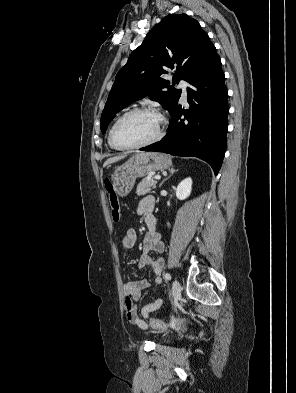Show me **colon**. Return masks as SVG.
<instances>
[{
	"label": "colon",
	"instance_id": "1",
	"mask_svg": "<svg viewBox=\"0 0 296 393\" xmlns=\"http://www.w3.org/2000/svg\"><path fill=\"white\" fill-rule=\"evenodd\" d=\"M105 188H106V191L109 195V203H110L112 217H113L114 221L117 222L120 219V206H119L117 195L114 191L113 184L109 179H106V181H105ZM149 322L152 327H154L155 329H158V330H166L168 328H175V327H178V326L186 323V321H184L182 319L172 320L169 323H165L161 320L150 319Z\"/></svg>",
	"mask_w": 296,
	"mask_h": 393
}]
</instances>
